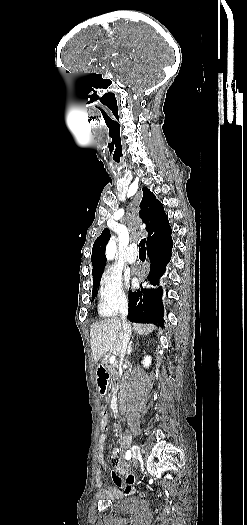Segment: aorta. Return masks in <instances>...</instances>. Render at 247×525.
I'll list each match as a JSON object with an SVG mask.
<instances>
[{
  "instance_id": "762f6f07",
  "label": "aorta",
  "mask_w": 247,
  "mask_h": 525,
  "mask_svg": "<svg viewBox=\"0 0 247 525\" xmlns=\"http://www.w3.org/2000/svg\"><path fill=\"white\" fill-rule=\"evenodd\" d=\"M116 250H117L116 240L110 239V241L108 242L106 246V257L108 260H112L115 257Z\"/></svg>"
}]
</instances>
